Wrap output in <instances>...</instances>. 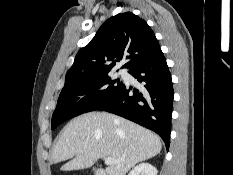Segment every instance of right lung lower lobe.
<instances>
[{
	"instance_id": "obj_1",
	"label": "right lung lower lobe",
	"mask_w": 233,
	"mask_h": 175,
	"mask_svg": "<svg viewBox=\"0 0 233 175\" xmlns=\"http://www.w3.org/2000/svg\"><path fill=\"white\" fill-rule=\"evenodd\" d=\"M129 73L142 85L123 87L97 110L114 113L156 132L169 148L173 84L163 53L133 67ZM133 91V95L129 92Z\"/></svg>"
}]
</instances>
